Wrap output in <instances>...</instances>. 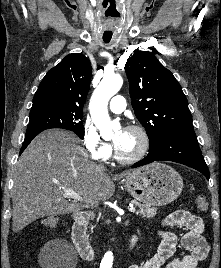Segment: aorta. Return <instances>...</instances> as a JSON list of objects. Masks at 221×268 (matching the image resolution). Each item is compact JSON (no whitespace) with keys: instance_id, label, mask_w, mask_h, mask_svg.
Returning <instances> with one entry per match:
<instances>
[{"instance_id":"762f6f07","label":"aorta","mask_w":221,"mask_h":268,"mask_svg":"<svg viewBox=\"0 0 221 268\" xmlns=\"http://www.w3.org/2000/svg\"><path fill=\"white\" fill-rule=\"evenodd\" d=\"M123 79L120 75L105 77L92 94L89 109L92 121L103 138L110 137L115 126L108 114V102L122 87ZM112 253L106 254V261L112 262Z\"/></svg>"}]
</instances>
